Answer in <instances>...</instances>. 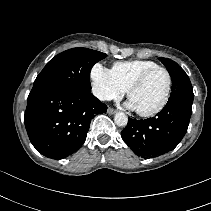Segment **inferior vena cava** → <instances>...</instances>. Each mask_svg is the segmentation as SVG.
Listing matches in <instances>:
<instances>
[{
    "mask_svg": "<svg viewBox=\"0 0 211 211\" xmlns=\"http://www.w3.org/2000/svg\"><path fill=\"white\" fill-rule=\"evenodd\" d=\"M93 94L98 97L100 100H109V95L100 88H93Z\"/></svg>",
    "mask_w": 211,
    "mask_h": 211,
    "instance_id": "602c4592",
    "label": "inferior vena cava"
}]
</instances>
